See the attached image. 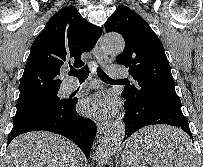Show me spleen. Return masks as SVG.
Here are the masks:
<instances>
[{
    "label": "spleen",
    "instance_id": "1",
    "mask_svg": "<svg viewBox=\"0 0 203 167\" xmlns=\"http://www.w3.org/2000/svg\"><path fill=\"white\" fill-rule=\"evenodd\" d=\"M139 143V142H138ZM137 144L132 148L130 154V167H146L148 163L151 167H196V158L190 148L180 150L174 160H165L160 147L137 148ZM157 148L158 154L151 153V150Z\"/></svg>",
    "mask_w": 203,
    "mask_h": 167
}]
</instances>
